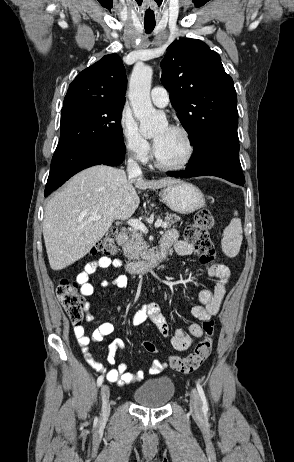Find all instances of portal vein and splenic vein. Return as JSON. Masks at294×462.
<instances>
[{
  "instance_id": "1",
  "label": "portal vein and splenic vein",
  "mask_w": 294,
  "mask_h": 462,
  "mask_svg": "<svg viewBox=\"0 0 294 462\" xmlns=\"http://www.w3.org/2000/svg\"><path fill=\"white\" fill-rule=\"evenodd\" d=\"M99 218H101L100 215H94V216L91 217V220H97V219H99ZM128 224H129L132 228H134V229H136V230H140V231H142V232H144V233H147V232H148L146 226H145L140 220H138V219H129V220H128ZM162 225H163V221L160 220V219L157 220V221L155 222V224H154V226H155L156 228H158V227H160V226H162Z\"/></svg>"
}]
</instances>
